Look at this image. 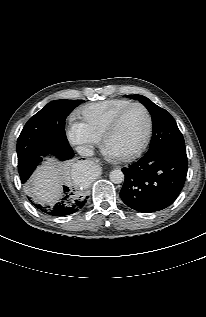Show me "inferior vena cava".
<instances>
[{
	"instance_id": "602c4592",
	"label": "inferior vena cava",
	"mask_w": 206,
	"mask_h": 317,
	"mask_svg": "<svg viewBox=\"0 0 206 317\" xmlns=\"http://www.w3.org/2000/svg\"><path fill=\"white\" fill-rule=\"evenodd\" d=\"M76 151L79 155L81 156H92L94 154L93 150L89 148L88 146L82 145V146H77Z\"/></svg>"
}]
</instances>
